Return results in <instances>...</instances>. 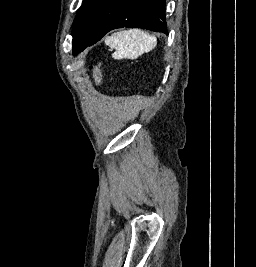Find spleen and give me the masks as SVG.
Wrapping results in <instances>:
<instances>
[{
	"instance_id": "obj_1",
	"label": "spleen",
	"mask_w": 256,
	"mask_h": 267,
	"mask_svg": "<svg viewBox=\"0 0 256 267\" xmlns=\"http://www.w3.org/2000/svg\"><path fill=\"white\" fill-rule=\"evenodd\" d=\"M106 46L115 48L114 58H127V60H137L139 56L153 50L157 44V38L145 30H123L115 32L105 40Z\"/></svg>"
}]
</instances>
